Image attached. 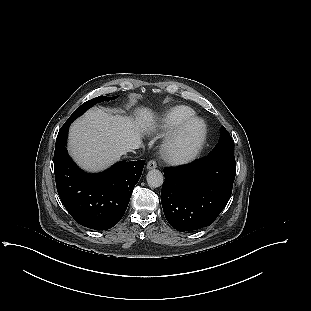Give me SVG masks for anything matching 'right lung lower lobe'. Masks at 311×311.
<instances>
[{
  "label": "right lung lower lobe",
  "instance_id": "obj_1",
  "mask_svg": "<svg viewBox=\"0 0 311 311\" xmlns=\"http://www.w3.org/2000/svg\"><path fill=\"white\" fill-rule=\"evenodd\" d=\"M69 126L65 123L56 139L54 172L58 194L77 223L95 230L110 229L123 217L145 161L118 162L103 173H85L67 153Z\"/></svg>",
  "mask_w": 311,
  "mask_h": 311
}]
</instances>
